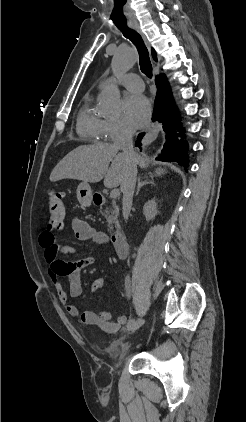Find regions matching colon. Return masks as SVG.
<instances>
[{
  "instance_id": "1",
  "label": "colon",
  "mask_w": 246,
  "mask_h": 422,
  "mask_svg": "<svg viewBox=\"0 0 246 422\" xmlns=\"http://www.w3.org/2000/svg\"><path fill=\"white\" fill-rule=\"evenodd\" d=\"M49 205V226L58 228L63 224L65 216V208L63 204V196L58 191H51L48 195Z\"/></svg>"
}]
</instances>
